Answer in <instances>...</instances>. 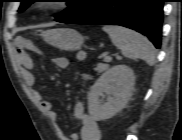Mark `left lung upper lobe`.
<instances>
[{
    "label": "left lung upper lobe",
    "instance_id": "left-lung-upper-lobe-1",
    "mask_svg": "<svg viewBox=\"0 0 182 140\" xmlns=\"http://www.w3.org/2000/svg\"><path fill=\"white\" fill-rule=\"evenodd\" d=\"M37 0H20L21 5L19 12L24 11L33 2ZM67 2L68 8L64 10L61 14L56 16V21L62 23H72L83 16L94 10L102 0H64Z\"/></svg>",
    "mask_w": 182,
    "mask_h": 140
}]
</instances>
